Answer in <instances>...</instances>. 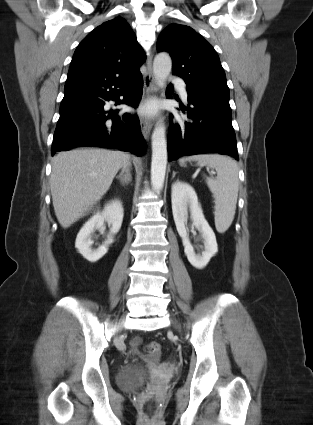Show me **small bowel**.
<instances>
[{"label": "small bowel", "mask_w": 313, "mask_h": 425, "mask_svg": "<svg viewBox=\"0 0 313 425\" xmlns=\"http://www.w3.org/2000/svg\"><path fill=\"white\" fill-rule=\"evenodd\" d=\"M139 341L138 340H134L133 345L136 346L138 345Z\"/></svg>", "instance_id": "small-bowel-1"}]
</instances>
